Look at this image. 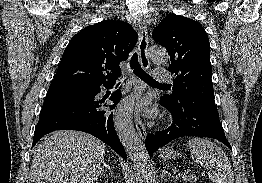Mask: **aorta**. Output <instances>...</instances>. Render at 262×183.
<instances>
[{
	"label": "aorta",
	"instance_id": "762f6f07",
	"mask_svg": "<svg viewBox=\"0 0 262 183\" xmlns=\"http://www.w3.org/2000/svg\"><path fill=\"white\" fill-rule=\"evenodd\" d=\"M149 57L157 65L167 63L169 58L165 49L155 46L149 49ZM135 98L136 96L131 95L121 100L115 113L114 124L122 144L134 163L139 182L150 183L151 161L132 123Z\"/></svg>",
	"mask_w": 262,
	"mask_h": 183
}]
</instances>
